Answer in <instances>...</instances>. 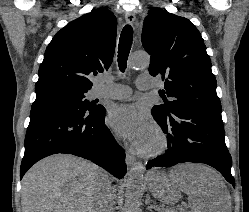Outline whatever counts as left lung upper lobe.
<instances>
[{
    "label": "left lung upper lobe",
    "instance_id": "5c2ea615",
    "mask_svg": "<svg viewBox=\"0 0 249 212\" xmlns=\"http://www.w3.org/2000/svg\"><path fill=\"white\" fill-rule=\"evenodd\" d=\"M142 44L151 55L149 73L165 79V91H160L164 104L152 110L165 116L189 108L221 112L210 57L200 32L188 19L151 8L144 20Z\"/></svg>",
    "mask_w": 249,
    "mask_h": 212
}]
</instances>
